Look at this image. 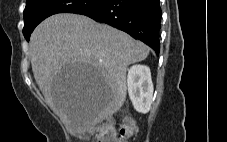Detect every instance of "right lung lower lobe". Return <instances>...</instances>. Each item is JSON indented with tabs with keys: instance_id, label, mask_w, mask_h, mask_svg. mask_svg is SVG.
I'll use <instances>...</instances> for the list:
<instances>
[{
	"instance_id": "98d812e1",
	"label": "right lung lower lobe",
	"mask_w": 227,
	"mask_h": 142,
	"mask_svg": "<svg viewBox=\"0 0 227 142\" xmlns=\"http://www.w3.org/2000/svg\"><path fill=\"white\" fill-rule=\"evenodd\" d=\"M78 14L118 28L143 41L159 54V0H106L102 5Z\"/></svg>"
}]
</instances>
